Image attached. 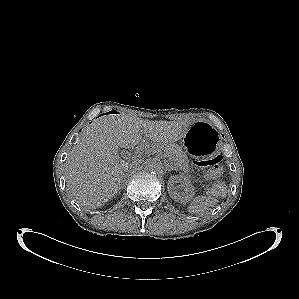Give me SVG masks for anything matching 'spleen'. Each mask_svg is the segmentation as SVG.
Wrapping results in <instances>:
<instances>
[{"mask_svg": "<svg viewBox=\"0 0 299 299\" xmlns=\"http://www.w3.org/2000/svg\"><path fill=\"white\" fill-rule=\"evenodd\" d=\"M217 203V199L212 196H196L190 202L187 211L190 214H204L209 211L212 207H214Z\"/></svg>", "mask_w": 299, "mask_h": 299, "instance_id": "1", "label": "spleen"}]
</instances>
